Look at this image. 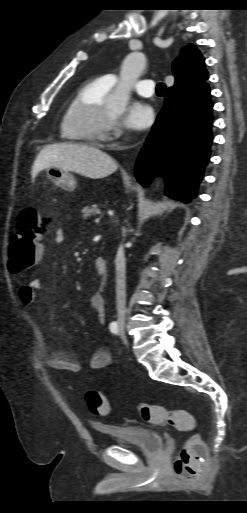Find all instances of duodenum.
<instances>
[{"mask_svg": "<svg viewBox=\"0 0 247 513\" xmlns=\"http://www.w3.org/2000/svg\"><path fill=\"white\" fill-rule=\"evenodd\" d=\"M94 267L100 281H104L107 277V261L103 256H99L95 259Z\"/></svg>", "mask_w": 247, "mask_h": 513, "instance_id": "obj_1", "label": "duodenum"}]
</instances>
